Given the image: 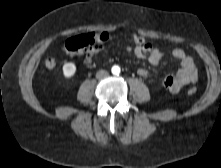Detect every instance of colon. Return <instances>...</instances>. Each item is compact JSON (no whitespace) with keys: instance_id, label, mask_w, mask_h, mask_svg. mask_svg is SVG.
<instances>
[{"instance_id":"1","label":"colon","mask_w":221,"mask_h":168,"mask_svg":"<svg viewBox=\"0 0 221 168\" xmlns=\"http://www.w3.org/2000/svg\"><path fill=\"white\" fill-rule=\"evenodd\" d=\"M111 41V36L108 32H99L98 34H81L69 38L64 45V50L69 56H76L81 54H88L98 43L108 44ZM130 43L133 46L145 47L148 44V39L139 35H134L130 38ZM45 66L52 69L56 66V60L54 58H47L45 60ZM197 92L195 87L188 89L189 95H194Z\"/></svg>"}]
</instances>
